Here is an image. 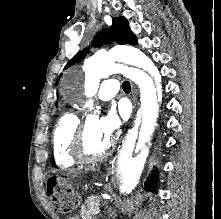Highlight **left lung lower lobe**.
I'll return each mask as SVG.
<instances>
[{"label":"left lung lower lobe","instance_id":"0a47b994","mask_svg":"<svg viewBox=\"0 0 221 219\" xmlns=\"http://www.w3.org/2000/svg\"><path fill=\"white\" fill-rule=\"evenodd\" d=\"M156 185H157V174L154 171L152 175L149 177V179L147 180L146 189L149 191H152L156 188Z\"/></svg>","mask_w":221,"mask_h":219}]
</instances>
